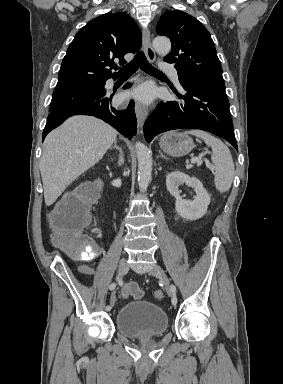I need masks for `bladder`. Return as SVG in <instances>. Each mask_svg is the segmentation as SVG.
Here are the masks:
<instances>
[{"mask_svg": "<svg viewBox=\"0 0 283 384\" xmlns=\"http://www.w3.org/2000/svg\"><path fill=\"white\" fill-rule=\"evenodd\" d=\"M168 312L159 304L136 299L123 304L116 313V329L125 338L163 336L168 328Z\"/></svg>", "mask_w": 283, "mask_h": 384, "instance_id": "bladder-1", "label": "bladder"}]
</instances>
